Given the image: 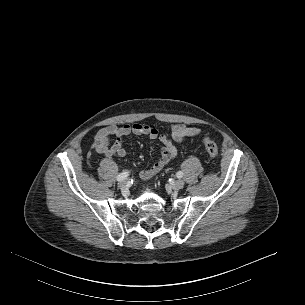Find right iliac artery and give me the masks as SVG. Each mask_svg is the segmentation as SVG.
Masks as SVG:
<instances>
[{
    "label": "right iliac artery",
    "instance_id": "obj_1",
    "mask_svg": "<svg viewBox=\"0 0 305 305\" xmlns=\"http://www.w3.org/2000/svg\"><path fill=\"white\" fill-rule=\"evenodd\" d=\"M129 175V172L128 171H124L122 173H120L116 178H117V181H123L124 179L127 178V176Z\"/></svg>",
    "mask_w": 305,
    "mask_h": 305
}]
</instances>
